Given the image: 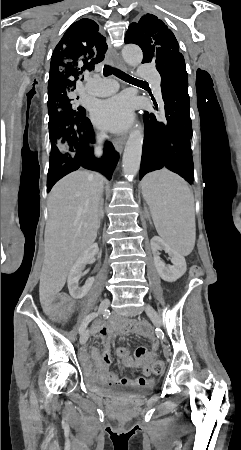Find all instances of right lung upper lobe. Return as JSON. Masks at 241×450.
Here are the masks:
<instances>
[{"label": "right lung upper lobe", "instance_id": "obj_1", "mask_svg": "<svg viewBox=\"0 0 241 450\" xmlns=\"http://www.w3.org/2000/svg\"><path fill=\"white\" fill-rule=\"evenodd\" d=\"M106 38L90 19L73 23L55 47L48 81V100L71 94L78 80L104 60Z\"/></svg>", "mask_w": 241, "mask_h": 450}]
</instances>
